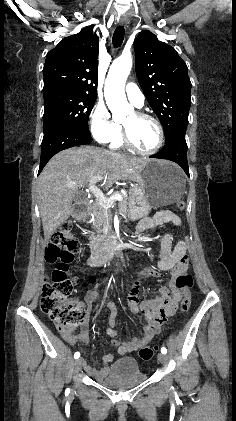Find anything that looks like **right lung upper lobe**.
I'll return each instance as SVG.
<instances>
[{
  "label": "right lung upper lobe",
  "mask_w": 236,
  "mask_h": 421,
  "mask_svg": "<svg viewBox=\"0 0 236 421\" xmlns=\"http://www.w3.org/2000/svg\"><path fill=\"white\" fill-rule=\"evenodd\" d=\"M99 39L92 27L63 39L48 52L44 64V88L97 95Z\"/></svg>",
  "instance_id": "obj_1"
}]
</instances>
